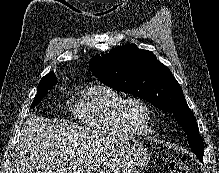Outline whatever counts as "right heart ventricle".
Instances as JSON below:
<instances>
[{
	"instance_id": "obj_1",
	"label": "right heart ventricle",
	"mask_w": 219,
	"mask_h": 173,
	"mask_svg": "<svg viewBox=\"0 0 219 173\" xmlns=\"http://www.w3.org/2000/svg\"><path fill=\"white\" fill-rule=\"evenodd\" d=\"M123 96L113 88L93 83L83 88L71 103L73 116L85 127L107 134L133 136L120 123L117 109Z\"/></svg>"
}]
</instances>
